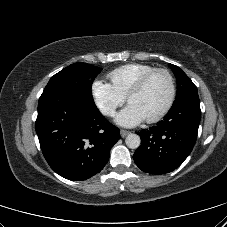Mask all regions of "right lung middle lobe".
Instances as JSON below:
<instances>
[{"mask_svg":"<svg viewBox=\"0 0 227 227\" xmlns=\"http://www.w3.org/2000/svg\"><path fill=\"white\" fill-rule=\"evenodd\" d=\"M101 70L99 67L83 62L71 64L50 79L42 94L58 90H69L87 101L94 102L91 86Z\"/></svg>","mask_w":227,"mask_h":227,"instance_id":"dd1d6c3e","label":"right lung middle lobe"}]
</instances>
